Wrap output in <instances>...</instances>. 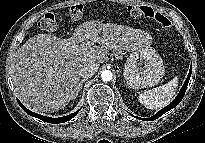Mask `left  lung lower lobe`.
<instances>
[{
    "instance_id": "obj_1",
    "label": "left lung lower lobe",
    "mask_w": 205,
    "mask_h": 143,
    "mask_svg": "<svg viewBox=\"0 0 205 143\" xmlns=\"http://www.w3.org/2000/svg\"><path fill=\"white\" fill-rule=\"evenodd\" d=\"M191 73H192V66H191V68L189 70L188 77H187V79H186V81H185L181 91L179 92L178 96L174 99V101L172 103H170L167 107H165L164 109L159 111L153 117L147 118V119H142V120H149V121L155 120V119L159 118L160 116H162L164 113L168 112L169 110H171L172 108L177 106L180 103V101L182 100V98L184 97L185 91H186L188 83H189V79H190ZM136 118H138V117H136Z\"/></svg>"
}]
</instances>
